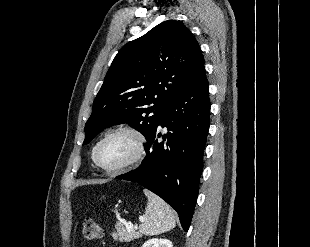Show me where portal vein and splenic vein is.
Instances as JSON below:
<instances>
[{"label": "portal vein and splenic vein", "instance_id": "1", "mask_svg": "<svg viewBox=\"0 0 310 247\" xmlns=\"http://www.w3.org/2000/svg\"><path fill=\"white\" fill-rule=\"evenodd\" d=\"M142 220V218H140ZM127 230H134L133 224L131 222H128L125 224Z\"/></svg>", "mask_w": 310, "mask_h": 247}]
</instances>
